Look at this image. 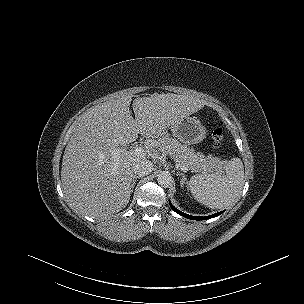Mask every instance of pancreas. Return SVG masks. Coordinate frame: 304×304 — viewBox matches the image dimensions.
Masks as SVG:
<instances>
[{"label":"pancreas","mask_w":304,"mask_h":304,"mask_svg":"<svg viewBox=\"0 0 304 304\" xmlns=\"http://www.w3.org/2000/svg\"><path fill=\"white\" fill-rule=\"evenodd\" d=\"M159 149L171 156L179 166H186L192 172L220 171L224 161L212 155L205 156L201 152H195L187 145L181 144L176 139L167 135L158 139Z\"/></svg>","instance_id":"cf45deb5"}]
</instances>
